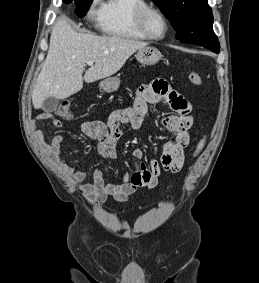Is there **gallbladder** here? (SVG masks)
Listing matches in <instances>:
<instances>
[{
    "label": "gallbladder",
    "mask_w": 259,
    "mask_h": 283,
    "mask_svg": "<svg viewBox=\"0 0 259 283\" xmlns=\"http://www.w3.org/2000/svg\"><path fill=\"white\" fill-rule=\"evenodd\" d=\"M58 103V99L54 97H49L43 102L41 108L45 112H53L57 109Z\"/></svg>",
    "instance_id": "1"
}]
</instances>
